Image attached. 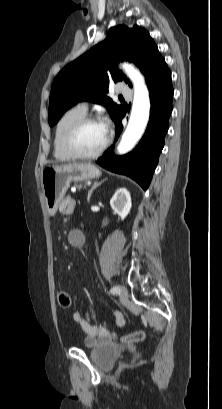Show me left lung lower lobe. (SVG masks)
Returning <instances> with one entry per match:
<instances>
[{
	"label": "left lung lower lobe",
	"mask_w": 222,
	"mask_h": 409,
	"mask_svg": "<svg viewBox=\"0 0 222 409\" xmlns=\"http://www.w3.org/2000/svg\"><path fill=\"white\" fill-rule=\"evenodd\" d=\"M147 85L151 100L150 120L139 144L131 153L124 156H115L113 153L114 146H112L97 161L100 166L111 172L131 177L144 190L150 184L164 146L165 134L168 131L173 99L170 70L166 69ZM122 112L114 120L116 124L115 140L118 139L123 129L121 120L124 114Z\"/></svg>",
	"instance_id": "left-lung-lower-lobe-1"
}]
</instances>
